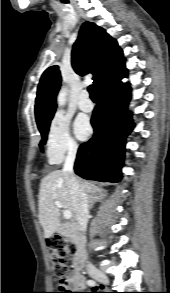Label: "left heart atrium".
Instances as JSON below:
<instances>
[{
	"mask_svg": "<svg viewBox=\"0 0 170 293\" xmlns=\"http://www.w3.org/2000/svg\"><path fill=\"white\" fill-rule=\"evenodd\" d=\"M74 131L79 139L84 140L87 138L91 133V126L88 119L85 117H78L74 124Z\"/></svg>",
	"mask_w": 170,
	"mask_h": 293,
	"instance_id": "obj_1",
	"label": "left heart atrium"
}]
</instances>
